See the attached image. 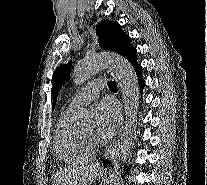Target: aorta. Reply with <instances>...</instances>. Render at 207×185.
Listing matches in <instances>:
<instances>
[{
    "label": "aorta",
    "mask_w": 207,
    "mask_h": 185,
    "mask_svg": "<svg viewBox=\"0 0 207 185\" xmlns=\"http://www.w3.org/2000/svg\"><path fill=\"white\" fill-rule=\"evenodd\" d=\"M110 68L114 71L121 88L125 105V125L122 135L110 157L104 185H121L123 164L131 152L133 125L139 108V86L136 73L130 62L124 57L111 53L87 55L77 62L74 67V82L84 83L96 72ZM94 124V115L86 109H78L74 113V125L78 128L89 129Z\"/></svg>",
    "instance_id": "762f6f07"
}]
</instances>
